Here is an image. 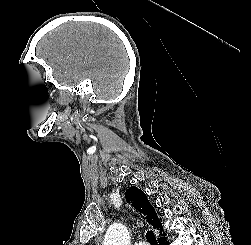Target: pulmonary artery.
I'll return each mask as SVG.
<instances>
[{
  "label": "pulmonary artery",
  "instance_id": "obj_1",
  "mask_svg": "<svg viewBox=\"0 0 251 245\" xmlns=\"http://www.w3.org/2000/svg\"><path fill=\"white\" fill-rule=\"evenodd\" d=\"M135 245H148V243H146V242H138Z\"/></svg>",
  "mask_w": 251,
  "mask_h": 245
}]
</instances>
